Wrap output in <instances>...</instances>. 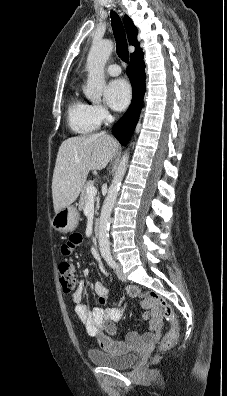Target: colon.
Masks as SVG:
<instances>
[{
	"instance_id": "colon-1",
	"label": "colon",
	"mask_w": 227,
	"mask_h": 396,
	"mask_svg": "<svg viewBox=\"0 0 227 396\" xmlns=\"http://www.w3.org/2000/svg\"><path fill=\"white\" fill-rule=\"evenodd\" d=\"M59 281L61 288L65 294H74L77 286V281L74 266L70 262L62 261L59 264ZM144 296L163 312L164 317L170 323L169 331L163 336L160 341V349L169 350L173 347L179 336V322L177 316L172 306L164 297L151 291L147 292Z\"/></svg>"
}]
</instances>
